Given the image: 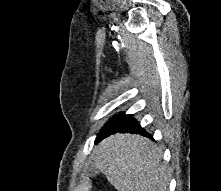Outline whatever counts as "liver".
<instances>
[{
    "label": "liver",
    "mask_w": 221,
    "mask_h": 191,
    "mask_svg": "<svg viewBox=\"0 0 221 191\" xmlns=\"http://www.w3.org/2000/svg\"><path fill=\"white\" fill-rule=\"evenodd\" d=\"M94 164L117 191H167L170 173L162 151L134 134L109 136L94 150Z\"/></svg>",
    "instance_id": "obj_1"
}]
</instances>
